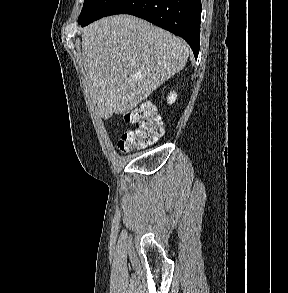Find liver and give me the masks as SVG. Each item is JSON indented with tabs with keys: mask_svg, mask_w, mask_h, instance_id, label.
Returning <instances> with one entry per match:
<instances>
[{
	"mask_svg": "<svg viewBox=\"0 0 288 293\" xmlns=\"http://www.w3.org/2000/svg\"><path fill=\"white\" fill-rule=\"evenodd\" d=\"M81 55L91 97L109 119L135 108L182 70L189 47L143 19L115 15L83 29Z\"/></svg>",
	"mask_w": 288,
	"mask_h": 293,
	"instance_id": "liver-1",
	"label": "liver"
}]
</instances>
